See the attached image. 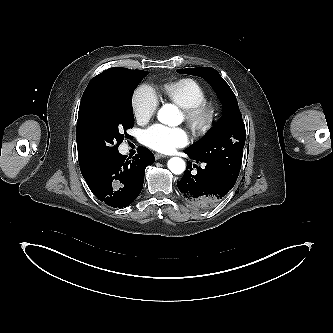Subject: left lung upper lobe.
Returning <instances> with one entry per match:
<instances>
[{"label":"left lung upper lobe","instance_id":"left-lung-upper-lobe-1","mask_svg":"<svg viewBox=\"0 0 333 333\" xmlns=\"http://www.w3.org/2000/svg\"><path fill=\"white\" fill-rule=\"evenodd\" d=\"M177 72L204 78L217 92L224 106L222 123H216V128L206 139L187 150L196 158L237 179L246 137L245 125L233 91L212 67L178 69Z\"/></svg>","mask_w":333,"mask_h":333}]
</instances>
